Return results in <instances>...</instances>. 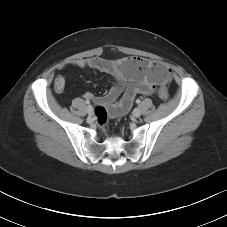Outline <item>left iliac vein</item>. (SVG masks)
<instances>
[{
    "mask_svg": "<svg viewBox=\"0 0 227 227\" xmlns=\"http://www.w3.org/2000/svg\"><path fill=\"white\" fill-rule=\"evenodd\" d=\"M133 116L138 118L141 115V110L139 108H135L132 112Z\"/></svg>",
    "mask_w": 227,
    "mask_h": 227,
    "instance_id": "4c4485c4",
    "label": "left iliac vein"
}]
</instances>
